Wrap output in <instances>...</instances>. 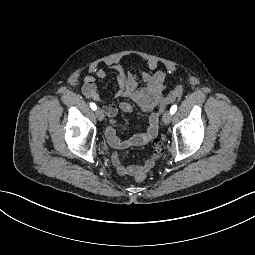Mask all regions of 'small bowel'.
Returning a JSON list of instances; mask_svg holds the SVG:
<instances>
[{
	"instance_id": "1",
	"label": "small bowel",
	"mask_w": 255,
	"mask_h": 255,
	"mask_svg": "<svg viewBox=\"0 0 255 255\" xmlns=\"http://www.w3.org/2000/svg\"><path fill=\"white\" fill-rule=\"evenodd\" d=\"M148 67L150 72L138 73L127 70L120 64H112L108 66L107 70L93 65L89 67L91 75L83 77V95L88 99L101 103L104 112L110 118L105 136L108 144L113 149L112 163L119 175L134 176L138 171L151 170L164 152L163 144L158 138L159 115L154 110L163 99L167 73L163 70H157L158 63L156 61L149 62ZM109 75H114L119 85V89L115 93L116 98L129 99L138 106L141 112L149 114V126L147 130L142 133H136L123 141L116 135L114 128L115 117L118 111L124 113L131 112L132 105L127 101H122L116 106L100 97L97 89L96 77L105 79ZM147 144L153 147V152L145 159L143 164H125L120 160L118 151Z\"/></svg>"
}]
</instances>
